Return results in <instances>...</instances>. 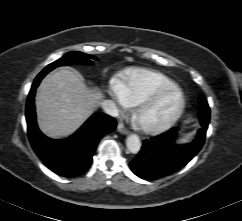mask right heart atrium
I'll use <instances>...</instances> for the list:
<instances>
[{
    "label": "right heart atrium",
    "mask_w": 242,
    "mask_h": 221,
    "mask_svg": "<svg viewBox=\"0 0 242 221\" xmlns=\"http://www.w3.org/2000/svg\"><path fill=\"white\" fill-rule=\"evenodd\" d=\"M114 96H115V99H116L117 103H118L120 106H122V107H124V108L128 107L127 102L123 99V97H122V96L120 95V93L116 90V88L114 89Z\"/></svg>",
    "instance_id": "d8ad5b80"
}]
</instances>
